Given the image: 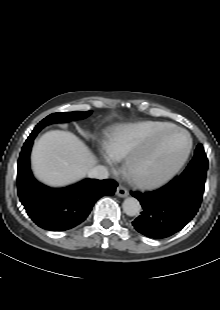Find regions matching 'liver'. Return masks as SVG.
<instances>
[{"label": "liver", "instance_id": "1", "mask_svg": "<svg viewBox=\"0 0 220 310\" xmlns=\"http://www.w3.org/2000/svg\"><path fill=\"white\" fill-rule=\"evenodd\" d=\"M31 162L34 174L40 181L60 187L84 178L95 167L97 160L76 135L53 130L36 142Z\"/></svg>", "mask_w": 220, "mask_h": 310}]
</instances>
